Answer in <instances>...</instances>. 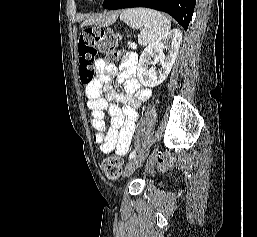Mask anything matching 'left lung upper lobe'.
<instances>
[{
    "mask_svg": "<svg viewBox=\"0 0 257 237\" xmlns=\"http://www.w3.org/2000/svg\"><path fill=\"white\" fill-rule=\"evenodd\" d=\"M107 1H108V0H105V1H104L103 6L106 4Z\"/></svg>",
    "mask_w": 257,
    "mask_h": 237,
    "instance_id": "obj_1",
    "label": "left lung upper lobe"
}]
</instances>
